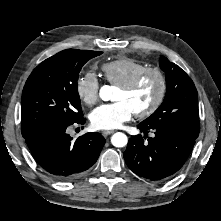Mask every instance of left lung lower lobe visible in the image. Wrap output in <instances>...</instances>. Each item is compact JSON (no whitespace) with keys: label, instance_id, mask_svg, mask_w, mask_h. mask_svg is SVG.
I'll return each instance as SVG.
<instances>
[{"label":"left lung lower lobe","instance_id":"1","mask_svg":"<svg viewBox=\"0 0 221 221\" xmlns=\"http://www.w3.org/2000/svg\"><path fill=\"white\" fill-rule=\"evenodd\" d=\"M147 137L153 130L155 137L144 141L141 135L132 136L123 154L129 169L139 177L159 182L174 176L188 159L196 139L175 129L137 126Z\"/></svg>","mask_w":221,"mask_h":221}]
</instances>
